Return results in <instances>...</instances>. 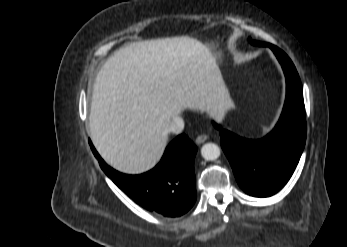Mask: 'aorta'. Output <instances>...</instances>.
<instances>
[{"label": "aorta", "instance_id": "762f6f07", "mask_svg": "<svg viewBox=\"0 0 347 247\" xmlns=\"http://www.w3.org/2000/svg\"><path fill=\"white\" fill-rule=\"evenodd\" d=\"M220 148L215 143H206L201 148V155L205 160L214 161L220 156Z\"/></svg>", "mask_w": 347, "mask_h": 247}]
</instances>
